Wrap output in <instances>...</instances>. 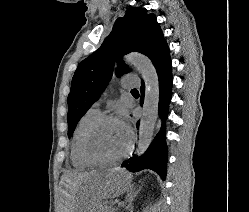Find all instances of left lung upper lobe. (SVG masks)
I'll return each mask as SVG.
<instances>
[{"instance_id":"1","label":"left lung upper lobe","mask_w":249,"mask_h":212,"mask_svg":"<svg viewBox=\"0 0 249 212\" xmlns=\"http://www.w3.org/2000/svg\"><path fill=\"white\" fill-rule=\"evenodd\" d=\"M147 12L146 8H128L125 16L115 21L112 32L101 47L79 64L68 95L69 137L81 117L107 87L116 61L136 51L148 56L153 62L167 46L156 16ZM128 71V66L119 62L117 76Z\"/></svg>"}]
</instances>
